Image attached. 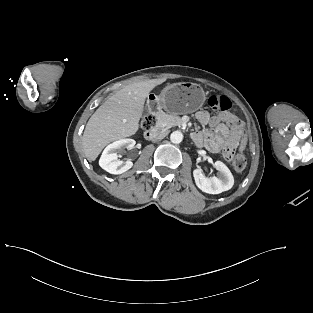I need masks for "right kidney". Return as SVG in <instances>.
I'll return each instance as SVG.
<instances>
[{"label":"right kidney","instance_id":"obj_1","mask_svg":"<svg viewBox=\"0 0 313 313\" xmlns=\"http://www.w3.org/2000/svg\"><path fill=\"white\" fill-rule=\"evenodd\" d=\"M135 144L136 142L133 139H120L109 144L100 157V167L111 174H122L126 172L133 166V163L129 160H119L117 153L124 148L131 149Z\"/></svg>","mask_w":313,"mask_h":313}]
</instances>
